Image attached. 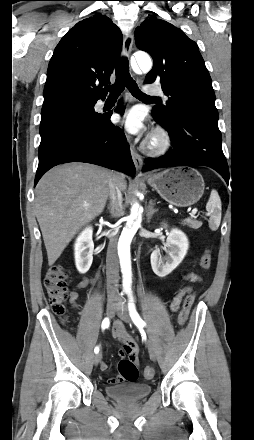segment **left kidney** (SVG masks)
I'll list each match as a JSON object with an SVG mask.
<instances>
[{
	"label": "left kidney",
	"mask_w": 254,
	"mask_h": 440,
	"mask_svg": "<svg viewBox=\"0 0 254 440\" xmlns=\"http://www.w3.org/2000/svg\"><path fill=\"white\" fill-rule=\"evenodd\" d=\"M164 248L167 256L162 258L160 251L155 250L150 257L152 270L159 277L167 276L183 261L189 248L188 238L181 230L174 228L168 234Z\"/></svg>",
	"instance_id": "5707ae66"
}]
</instances>
